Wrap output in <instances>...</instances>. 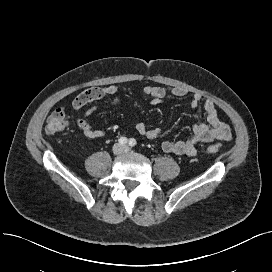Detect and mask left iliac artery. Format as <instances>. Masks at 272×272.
Returning <instances> with one entry per match:
<instances>
[{
    "mask_svg": "<svg viewBox=\"0 0 272 272\" xmlns=\"http://www.w3.org/2000/svg\"><path fill=\"white\" fill-rule=\"evenodd\" d=\"M136 145V140L134 138H131L129 140V146L134 147Z\"/></svg>",
    "mask_w": 272,
    "mask_h": 272,
    "instance_id": "left-iliac-artery-1",
    "label": "left iliac artery"
}]
</instances>
